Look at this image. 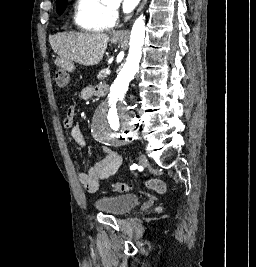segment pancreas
Returning a JSON list of instances; mask_svg holds the SVG:
<instances>
[{
  "mask_svg": "<svg viewBox=\"0 0 256 267\" xmlns=\"http://www.w3.org/2000/svg\"><path fill=\"white\" fill-rule=\"evenodd\" d=\"M99 78H105L104 74H99Z\"/></svg>",
  "mask_w": 256,
  "mask_h": 267,
  "instance_id": "pancreas-1",
  "label": "pancreas"
}]
</instances>
